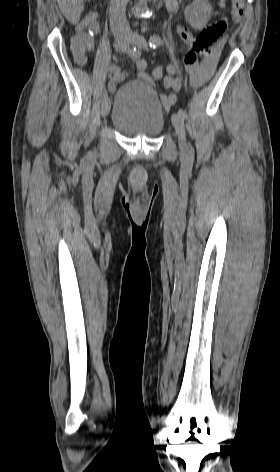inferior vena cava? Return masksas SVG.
Returning a JSON list of instances; mask_svg holds the SVG:
<instances>
[{
  "label": "inferior vena cava",
  "instance_id": "inferior-vena-cava-1",
  "mask_svg": "<svg viewBox=\"0 0 280 472\" xmlns=\"http://www.w3.org/2000/svg\"><path fill=\"white\" fill-rule=\"evenodd\" d=\"M128 1L129 0H111L109 9L110 25L115 34L129 30L126 19V5Z\"/></svg>",
  "mask_w": 280,
  "mask_h": 472
}]
</instances>
